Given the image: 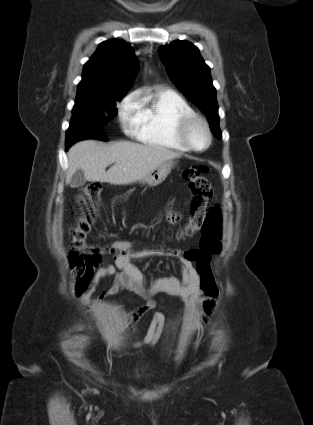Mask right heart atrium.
<instances>
[{
	"label": "right heart atrium",
	"instance_id": "right-heart-atrium-1",
	"mask_svg": "<svg viewBox=\"0 0 313 425\" xmlns=\"http://www.w3.org/2000/svg\"><path fill=\"white\" fill-rule=\"evenodd\" d=\"M118 115L123 128L129 133H134L139 121L137 93L133 92L123 99L118 109Z\"/></svg>",
	"mask_w": 313,
	"mask_h": 425
}]
</instances>
